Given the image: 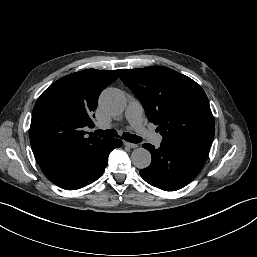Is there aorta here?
<instances>
[{"label": "aorta", "instance_id": "obj_1", "mask_svg": "<svg viewBox=\"0 0 257 257\" xmlns=\"http://www.w3.org/2000/svg\"><path fill=\"white\" fill-rule=\"evenodd\" d=\"M101 108L108 114L119 115L127 106L124 93L115 88L105 89L99 99ZM133 165L139 169L147 168L151 163V154L145 148L134 149L131 154Z\"/></svg>", "mask_w": 257, "mask_h": 257}]
</instances>
